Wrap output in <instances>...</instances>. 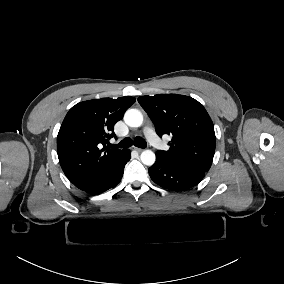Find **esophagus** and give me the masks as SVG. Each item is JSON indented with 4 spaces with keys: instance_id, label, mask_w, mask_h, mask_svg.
Returning a JSON list of instances; mask_svg holds the SVG:
<instances>
[{
    "instance_id": "1",
    "label": "esophagus",
    "mask_w": 284,
    "mask_h": 284,
    "mask_svg": "<svg viewBox=\"0 0 284 284\" xmlns=\"http://www.w3.org/2000/svg\"><path fill=\"white\" fill-rule=\"evenodd\" d=\"M132 149H133V150H136V151H138V152H142V151H143V149L138 148V147H136V146H133Z\"/></svg>"
}]
</instances>
